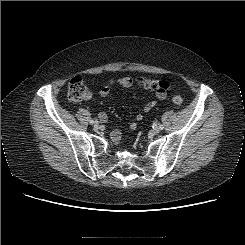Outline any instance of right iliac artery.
<instances>
[{
    "label": "right iliac artery",
    "instance_id": "1",
    "mask_svg": "<svg viewBox=\"0 0 245 245\" xmlns=\"http://www.w3.org/2000/svg\"><path fill=\"white\" fill-rule=\"evenodd\" d=\"M95 122H96V121L93 120V119L90 120V123H91V124H93V123H95ZM97 122H98V121H97Z\"/></svg>",
    "mask_w": 245,
    "mask_h": 245
}]
</instances>
